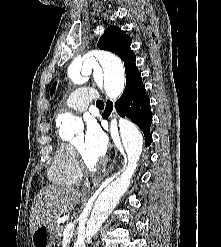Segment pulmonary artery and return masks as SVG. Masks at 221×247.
<instances>
[{
	"mask_svg": "<svg viewBox=\"0 0 221 247\" xmlns=\"http://www.w3.org/2000/svg\"><path fill=\"white\" fill-rule=\"evenodd\" d=\"M99 97V93L88 87H80L74 90L66 99L67 109L76 112H83L88 108L89 103Z\"/></svg>",
	"mask_w": 221,
	"mask_h": 247,
	"instance_id": "e3ab8cb5",
	"label": "pulmonary artery"
}]
</instances>
